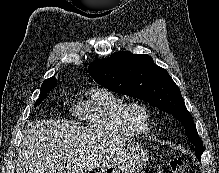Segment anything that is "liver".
I'll return each mask as SVG.
<instances>
[{"instance_id": "obj_1", "label": "liver", "mask_w": 219, "mask_h": 173, "mask_svg": "<svg viewBox=\"0 0 219 173\" xmlns=\"http://www.w3.org/2000/svg\"><path fill=\"white\" fill-rule=\"evenodd\" d=\"M122 144L120 138L59 120L29 122L23 132L16 173L90 172Z\"/></svg>"}]
</instances>
